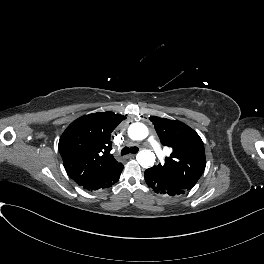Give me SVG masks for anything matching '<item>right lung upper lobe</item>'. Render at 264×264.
I'll use <instances>...</instances> for the list:
<instances>
[{
    "mask_svg": "<svg viewBox=\"0 0 264 264\" xmlns=\"http://www.w3.org/2000/svg\"><path fill=\"white\" fill-rule=\"evenodd\" d=\"M123 119V115L111 111L91 113L73 121L62 133L59 155L67 174L79 186L121 164L108 153L112 149L111 135Z\"/></svg>",
    "mask_w": 264,
    "mask_h": 264,
    "instance_id": "obj_1",
    "label": "right lung upper lobe"
}]
</instances>
